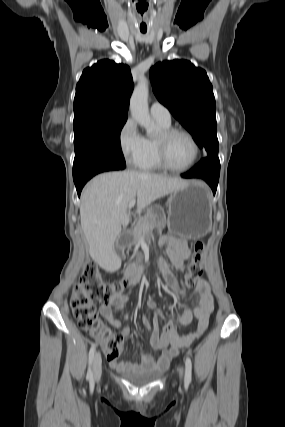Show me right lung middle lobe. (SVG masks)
<instances>
[{
    "instance_id": "right-lung-middle-lobe-1",
    "label": "right lung middle lobe",
    "mask_w": 285,
    "mask_h": 427,
    "mask_svg": "<svg viewBox=\"0 0 285 427\" xmlns=\"http://www.w3.org/2000/svg\"><path fill=\"white\" fill-rule=\"evenodd\" d=\"M127 118L82 116L74 118L75 159L73 174L93 159L125 162L120 133Z\"/></svg>"
}]
</instances>
